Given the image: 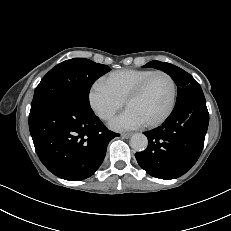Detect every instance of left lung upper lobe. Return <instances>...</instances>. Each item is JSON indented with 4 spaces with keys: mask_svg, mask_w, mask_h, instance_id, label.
<instances>
[{
    "mask_svg": "<svg viewBox=\"0 0 231 231\" xmlns=\"http://www.w3.org/2000/svg\"><path fill=\"white\" fill-rule=\"evenodd\" d=\"M144 67H153L159 70L164 71L174 80L177 89V100L182 97L188 89L200 87V85L196 82V80L186 71L181 68L166 62L160 61H151L144 65Z\"/></svg>",
    "mask_w": 231,
    "mask_h": 231,
    "instance_id": "obj_1",
    "label": "left lung upper lobe"
}]
</instances>
